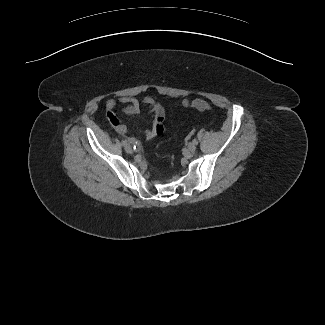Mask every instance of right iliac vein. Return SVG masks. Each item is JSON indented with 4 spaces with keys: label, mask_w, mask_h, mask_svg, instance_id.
Segmentation results:
<instances>
[{
    "label": "right iliac vein",
    "mask_w": 325,
    "mask_h": 325,
    "mask_svg": "<svg viewBox=\"0 0 325 325\" xmlns=\"http://www.w3.org/2000/svg\"><path fill=\"white\" fill-rule=\"evenodd\" d=\"M125 150H126L127 153H132L133 152V149L129 144L125 145Z\"/></svg>",
    "instance_id": "right-iliac-vein-1"
}]
</instances>
